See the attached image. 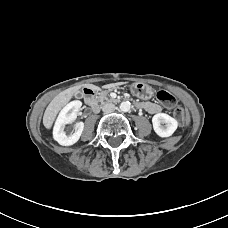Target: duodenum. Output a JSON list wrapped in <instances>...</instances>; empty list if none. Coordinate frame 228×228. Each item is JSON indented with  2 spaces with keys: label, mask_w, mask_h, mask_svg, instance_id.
Returning a JSON list of instances; mask_svg holds the SVG:
<instances>
[{
  "label": "duodenum",
  "mask_w": 228,
  "mask_h": 228,
  "mask_svg": "<svg viewBox=\"0 0 228 228\" xmlns=\"http://www.w3.org/2000/svg\"><path fill=\"white\" fill-rule=\"evenodd\" d=\"M85 102L91 107L92 110L98 109V101L96 98V89L93 86H86L83 89Z\"/></svg>",
  "instance_id": "410a0bca"
}]
</instances>
